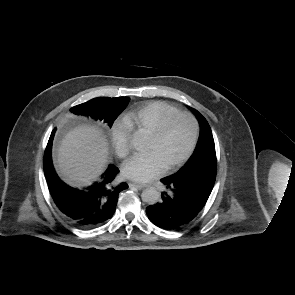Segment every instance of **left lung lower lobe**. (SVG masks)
Returning <instances> with one entry per match:
<instances>
[{"mask_svg": "<svg viewBox=\"0 0 295 295\" xmlns=\"http://www.w3.org/2000/svg\"><path fill=\"white\" fill-rule=\"evenodd\" d=\"M209 166L184 175L161 179L166 186L162 201L146 209L149 220L163 229H177L190 222L204 207L216 178Z\"/></svg>", "mask_w": 295, "mask_h": 295, "instance_id": "obj_1", "label": "left lung lower lobe"}]
</instances>
